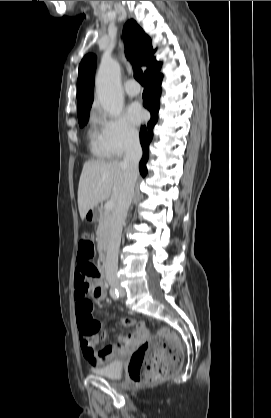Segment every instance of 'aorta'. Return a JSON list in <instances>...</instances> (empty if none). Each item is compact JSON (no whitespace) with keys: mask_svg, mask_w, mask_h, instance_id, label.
<instances>
[{"mask_svg":"<svg viewBox=\"0 0 271 418\" xmlns=\"http://www.w3.org/2000/svg\"><path fill=\"white\" fill-rule=\"evenodd\" d=\"M97 99L102 108L117 117L123 109V95L120 82V66L113 59L103 60L97 76Z\"/></svg>","mask_w":271,"mask_h":418,"instance_id":"1","label":"aorta"}]
</instances>
